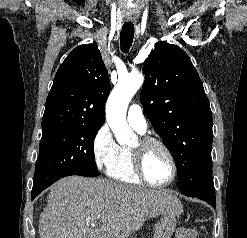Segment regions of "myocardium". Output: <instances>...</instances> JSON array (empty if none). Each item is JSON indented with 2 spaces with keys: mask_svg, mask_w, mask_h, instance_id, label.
<instances>
[{
  "mask_svg": "<svg viewBox=\"0 0 247 238\" xmlns=\"http://www.w3.org/2000/svg\"><path fill=\"white\" fill-rule=\"evenodd\" d=\"M154 145L160 147L166 153L172 167V173L170 178L162 183H155L150 181L147 178L144 171L145 153L148 150V148ZM131 152H132V159H133V166L135 173L143 183L147 184L148 186L157 187V188L166 187L169 186L171 183H173V181L177 176L178 166L172 150L165 142L155 137L144 136L137 141V144L131 149Z\"/></svg>",
  "mask_w": 247,
  "mask_h": 238,
  "instance_id": "f54148a6",
  "label": "myocardium"
}]
</instances>
